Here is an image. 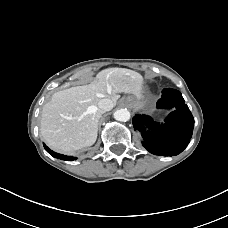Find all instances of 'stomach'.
<instances>
[{
    "mask_svg": "<svg viewBox=\"0 0 228 228\" xmlns=\"http://www.w3.org/2000/svg\"><path fill=\"white\" fill-rule=\"evenodd\" d=\"M125 104H127L128 106H131V107H137L139 106V101L134 98V97H127L125 100H124Z\"/></svg>",
    "mask_w": 228,
    "mask_h": 228,
    "instance_id": "0dacf381",
    "label": "stomach"
}]
</instances>
